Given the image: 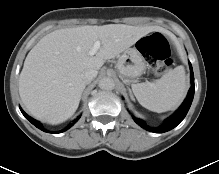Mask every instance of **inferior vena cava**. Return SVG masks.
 <instances>
[{"label":"inferior vena cava","mask_w":219,"mask_h":174,"mask_svg":"<svg viewBox=\"0 0 219 174\" xmlns=\"http://www.w3.org/2000/svg\"><path fill=\"white\" fill-rule=\"evenodd\" d=\"M97 76V71L94 69H88L83 72V80L86 84L90 83Z\"/></svg>","instance_id":"1"}]
</instances>
